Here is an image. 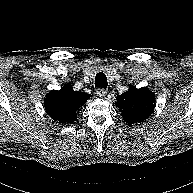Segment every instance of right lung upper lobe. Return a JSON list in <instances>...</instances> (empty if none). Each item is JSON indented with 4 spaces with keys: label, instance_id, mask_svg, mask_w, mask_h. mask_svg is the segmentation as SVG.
Instances as JSON below:
<instances>
[{
    "label": "right lung upper lobe",
    "instance_id": "cb5924a9",
    "mask_svg": "<svg viewBox=\"0 0 193 193\" xmlns=\"http://www.w3.org/2000/svg\"><path fill=\"white\" fill-rule=\"evenodd\" d=\"M88 98L89 94L74 91L71 84H66L60 90H52L46 95L44 108L54 121L71 124L77 120V113Z\"/></svg>",
    "mask_w": 193,
    "mask_h": 193
}]
</instances>
